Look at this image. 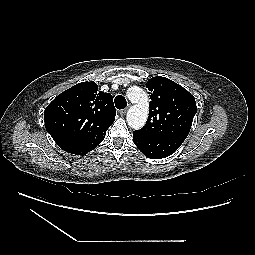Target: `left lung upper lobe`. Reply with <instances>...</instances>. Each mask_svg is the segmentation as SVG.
I'll use <instances>...</instances> for the list:
<instances>
[{"instance_id": "obj_1", "label": "left lung upper lobe", "mask_w": 255, "mask_h": 255, "mask_svg": "<svg viewBox=\"0 0 255 255\" xmlns=\"http://www.w3.org/2000/svg\"><path fill=\"white\" fill-rule=\"evenodd\" d=\"M150 110L145 126L134 132L144 136H175L186 139L197 106L194 97L172 80L156 76L148 80Z\"/></svg>"}]
</instances>
